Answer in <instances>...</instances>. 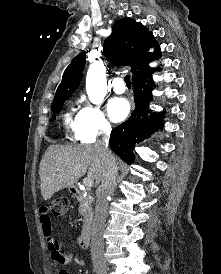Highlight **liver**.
I'll return each instance as SVG.
<instances>
[{
    "mask_svg": "<svg viewBox=\"0 0 221 274\" xmlns=\"http://www.w3.org/2000/svg\"><path fill=\"white\" fill-rule=\"evenodd\" d=\"M104 169L105 163L96 145H51L39 167L42 197L47 201L56 192L74 186L87 170V177L98 185Z\"/></svg>",
    "mask_w": 221,
    "mask_h": 274,
    "instance_id": "6515ba94",
    "label": "liver"
}]
</instances>
